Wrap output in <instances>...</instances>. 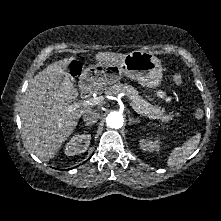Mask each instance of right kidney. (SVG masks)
Instances as JSON below:
<instances>
[{
	"label": "right kidney",
	"instance_id": "obj_1",
	"mask_svg": "<svg viewBox=\"0 0 221 221\" xmlns=\"http://www.w3.org/2000/svg\"><path fill=\"white\" fill-rule=\"evenodd\" d=\"M91 140L90 134H81L73 136L65 146V154L74 156L86 152Z\"/></svg>",
	"mask_w": 221,
	"mask_h": 221
}]
</instances>
